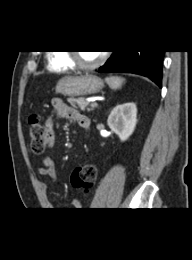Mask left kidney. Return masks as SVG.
<instances>
[{
  "label": "left kidney",
  "mask_w": 192,
  "mask_h": 260,
  "mask_svg": "<svg viewBox=\"0 0 192 260\" xmlns=\"http://www.w3.org/2000/svg\"><path fill=\"white\" fill-rule=\"evenodd\" d=\"M107 124L121 141H126L137 124V107L133 102L116 106L110 113Z\"/></svg>",
  "instance_id": "5707ae66"
}]
</instances>
